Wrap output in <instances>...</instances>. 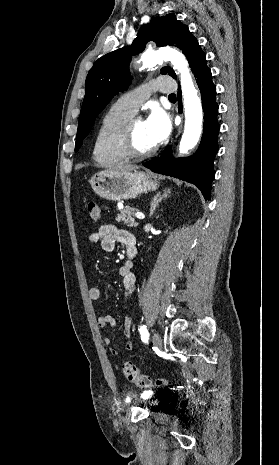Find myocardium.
Returning a JSON list of instances; mask_svg holds the SVG:
<instances>
[{
	"label": "myocardium",
	"instance_id": "1",
	"mask_svg": "<svg viewBox=\"0 0 279 465\" xmlns=\"http://www.w3.org/2000/svg\"><path fill=\"white\" fill-rule=\"evenodd\" d=\"M139 118L128 119L110 138L109 148L112 153L122 158H144L152 155L156 151V145L145 151H135L131 148L130 139L133 125Z\"/></svg>",
	"mask_w": 279,
	"mask_h": 465
}]
</instances>
